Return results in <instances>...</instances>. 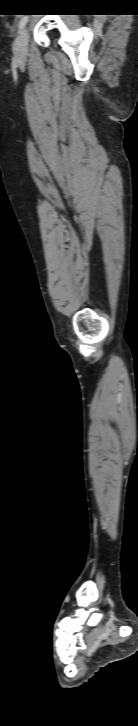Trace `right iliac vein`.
Masks as SVG:
<instances>
[{"label":"right iliac vein","instance_id":"obj_1","mask_svg":"<svg viewBox=\"0 0 138 726\" xmlns=\"http://www.w3.org/2000/svg\"><path fill=\"white\" fill-rule=\"evenodd\" d=\"M29 39V29L26 27L22 30L14 44V54L18 61H23L27 54V45Z\"/></svg>","mask_w":138,"mask_h":726}]
</instances>
